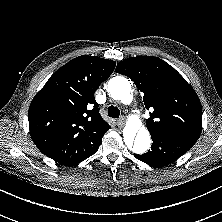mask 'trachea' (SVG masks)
<instances>
[{
  "label": "trachea",
  "mask_w": 222,
  "mask_h": 222,
  "mask_svg": "<svg viewBox=\"0 0 222 222\" xmlns=\"http://www.w3.org/2000/svg\"><path fill=\"white\" fill-rule=\"evenodd\" d=\"M108 116L111 118H118L120 116V110L116 106H109L107 110Z\"/></svg>",
  "instance_id": "obj_1"
}]
</instances>
